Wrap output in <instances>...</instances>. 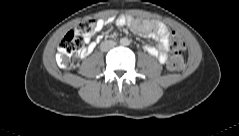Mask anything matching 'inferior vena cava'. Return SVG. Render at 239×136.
I'll return each instance as SVG.
<instances>
[{
    "mask_svg": "<svg viewBox=\"0 0 239 136\" xmlns=\"http://www.w3.org/2000/svg\"><path fill=\"white\" fill-rule=\"evenodd\" d=\"M116 45L114 41H105L101 44V50L107 51L108 49L113 48Z\"/></svg>",
    "mask_w": 239,
    "mask_h": 136,
    "instance_id": "inferior-vena-cava-1",
    "label": "inferior vena cava"
}]
</instances>
